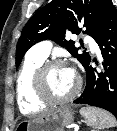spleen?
Wrapping results in <instances>:
<instances>
[{
  "label": "spleen",
  "instance_id": "spleen-1",
  "mask_svg": "<svg viewBox=\"0 0 117 131\" xmlns=\"http://www.w3.org/2000/svg\"><path fill=\"white\" fill-rule=\"evenodd\" d=\"M80 114L86 119V123L94 129H105L117 126V121L109 112L94 107L81 108Z\"/></svg>",
  "mask_w": 117,
  "mask_h": 131
}]
</instances>
